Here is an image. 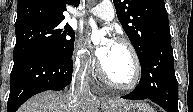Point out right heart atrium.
<instances>
[{
	"label": "right heart atrium",
	"mask_w": 193,
	"mask_h": 112,
	"mask_svg": "<svg viewBox=\"0 0 193 112\" xmlns=\"http://www.w3.org/2000/svg\"><path fill=\"white\" fill-rule=\"evenodd\" d=\"M73 66L78 73L83 75H89L93 69V61L81 44H78L75 49L73 55Z\"/></svg>",
	"instance_id": "obj_1"
}]
</instances>
